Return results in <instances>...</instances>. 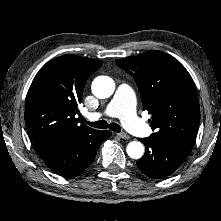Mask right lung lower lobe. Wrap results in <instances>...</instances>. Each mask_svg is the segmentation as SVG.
I'll return each instance as SVG.
<instances>
[{
	"label": "right lung lower lobe",
	"instance_id": "98d812e1",
	"mask_svg": "<svg viewBox=\"0 0 221 221\" xmlns=\"http://www.w3.org/2000/svg\"><path fill=\"white\" fill-rule=\"evenodd\" d=\"M110 136V131L95 130L80 137H54L32 143L52 171L72 177L81 174L94 161L99 146Z\"/></svg>",
	"mask_w": 221,
	"mask_h": 221
}]
</instances>
